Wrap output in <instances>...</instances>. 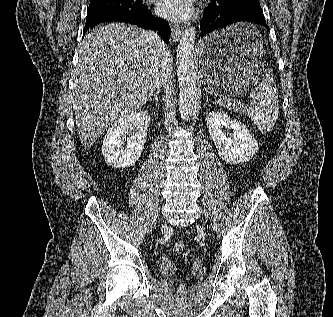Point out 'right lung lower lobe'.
<instances>
[{
	"label": "right lung lower lobe",
	"instance_id": "right-lung-lower-lobe-1",
	"mask_svg": "<svg viewBox=\"0 0 333 317\" xmlns=\"http://www.w3.org/2000/svg\"><path fill=\"white\" fill-rule=\"evenodd\" d=\"M103 22H125L139 27L158 31L165 43L169 42L170 28L166 20L156 18L146 5L129 10H101L87 13L83 34L90 28Z\"/></svg>",
	"mask_w": 333,
	"mask_h": 317
}]
</instances>
